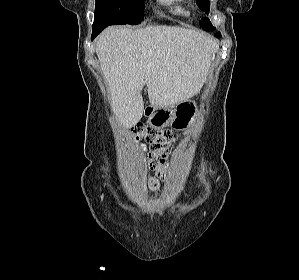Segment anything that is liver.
<instances>
[{
  "label": "liver",
  "mask_w": 299,
  "mask_h": 280,
  "mask_svg": "<svg viewBox=\"0 0 299 280\" xmlns=\"http://www.w3.org/2000/svg\"><path fill=\"white\" fill-rule=\"evenodd\" d=\"M217 48L206 35L178 26L105 29L95 51L121 125L131 128L142 118L144 85L154 107H171L197 94Z\"/></svg>",
  "instance_id": "1"
}]
</instances>
